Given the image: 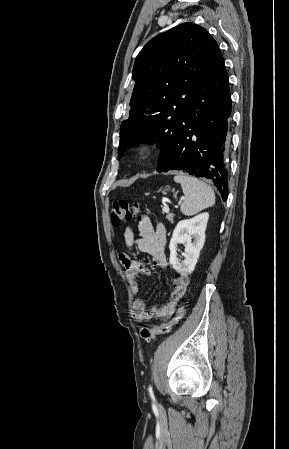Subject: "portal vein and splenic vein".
<instances>
[{
	"mask_svg": "<svg viewBox=\"0 0 289 449\" xmlns=\"http://www.w3.org/2000/svg\"><path fill=\"white\" fill-rule=\"evenodd\" d=\"M163 211L166 212V213L169 212V207H168V206H165V207L163 208Z\"/></svg>",
	"mask_w": 289,
	"mask_h": 449,
	"instance_id": "obj_1",
	"label": "portal vein and splenic vein"
}]
</instances>
